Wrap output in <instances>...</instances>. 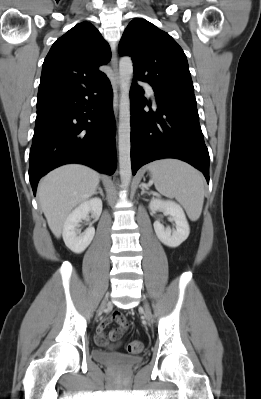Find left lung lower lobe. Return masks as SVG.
<instances>
[{
  "mask_svg": "<svg viewBox=\"0 0 261 399\" xmlns=\"http://www.w3.org/2000/svg\"><path fill=\"white\" fill-rule=\"evenodd\" d=\"M143 93L133 80L130 90L133 175L154 160L176 158L199 169L209 183V153L199 125L196 99L156 94L158 110L146 112Z\"/></svg>",
  "mask_w": 261,
  "mask_h": 399,
  "instance_id": "left-lung-lower-lobe-1",
  "label": "left lung lower lobe"
}]
</instances>
